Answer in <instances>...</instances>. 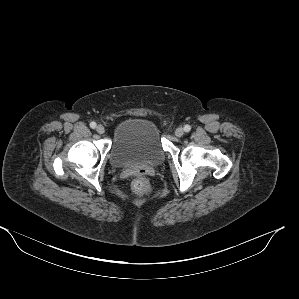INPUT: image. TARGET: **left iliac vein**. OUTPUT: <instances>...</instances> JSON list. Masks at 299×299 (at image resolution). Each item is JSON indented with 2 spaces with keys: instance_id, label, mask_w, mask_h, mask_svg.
<instances>
[{
  "instance_id": "1",
  "label": "left iliac vein",
  "mask_w": 299,
  "mask_h": 299,
  "mask_svg": "<svg viewBox=\"0 0 299 299\" xmlns=\"http://www.w3.org/2000/svg\"><path fill=\"white\" fill-rule=\"evenodd\" d=\"M183 134H184V129L182 127H178L175 131V135L177 137H181V136H183Z\"/></svg>"
}]
</instances>
